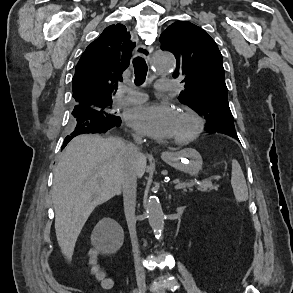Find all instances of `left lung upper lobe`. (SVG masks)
Masks as SVG:
<instances>
[{"mask_svg":"<svg viewBox=\"0 0 293 293\" xmlns=\"http://www.w3.org/2000/svg\"><path fill=\"white\" fill-rule=\"evenodd\" d=\"M161 48L174 53V78L185 84L181 103L208 120V132L236 133L227 99L222 55L215 41L200 27L177 21L160 36Z\"/></svg>","mask_w":293,"mask_h":293,"instance_id":"5c2ea615","label":"left lung upper lobe"}]
</instances>
